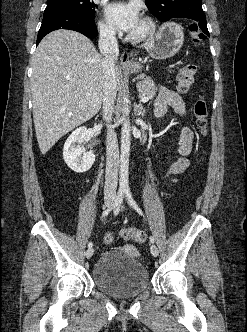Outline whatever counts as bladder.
I'll return each mask as SVG.
<instances>
[{"instance_id": "31cf9c89", "label": "bladder", "mask_w": 247, "mask_h": 332, "mask_svg": "<svg viewBox=\"0 0 247 332\" xmlns=\"http://www.w3.org/2000/svg\"><path fill=\"white\" fill-rule=\"evenodd\" d=\"M92 279L100 291L118 299L135 297L149 285V273L130 246L102 253L93 266Z\"/></svg>"}]
</instances>
